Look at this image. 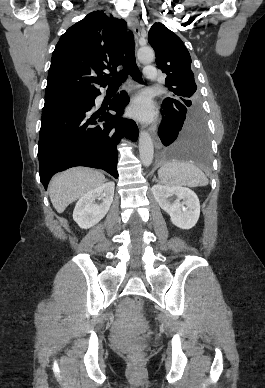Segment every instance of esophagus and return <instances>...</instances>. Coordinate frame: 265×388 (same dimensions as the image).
<instances>
[{
	"label": "esophagus",
	"mask_w": 265,
	"mask_h": 388,
	"mask_svg": "<svg viewBox=\"0 0 265 388\" xmlns=\"http://www.w3.org/2000/svg\"><path fill=\"white\" fill-rule=\"evenodd\" d=\"M128 25L131 27V29L133 30V33L135 35V39L138 40V36L140 34V26H139V21H138V18L134 15H130L128 17ZM136 47H137V43H136ZM139 67H141V64L138 63ZM150 131V134L152 135L154 141H155V145L157 148H161V142L159 140V138L157 137L156 135V132L154 130V128H150L149 129Z\"/></svg>",
	"instance_id": "esophagus-1"
}]
</instances>
